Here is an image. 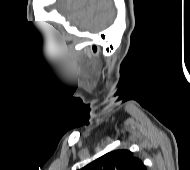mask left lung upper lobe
Listing matches in <instances>:
<instances>
[{
	"label": "left lung upper lobe",
	"instance_id": "obj_1",
	"mask_svg": "<svg viewBox=\"0 0 190 170\" xmlns=\"http://www.w3.org/2000/svg\"><path fill=\"white\" fill-rule=\"evenodd\" d=\"M80 170H146L142 161L129 150H115L99 157Z\"/></svg>",
	"mask_w": 190,
	"mask_h": 170
}]
</instances>
